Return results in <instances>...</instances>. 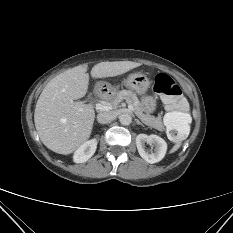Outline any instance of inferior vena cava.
<instances>
[{"instance_id": "obj_1", "label": "inferior vena cava", "mask_w": 233, "mask_h": 233, "mask_svg": "<svg viewBox=\"0 0 233 233\" xmlns=\"http://www.w3.org/2000/svg\"><path fill=\"white\" fill-rule=\"evenodd\" d=\"M116 118V115L114 112H101L97 116V120L100 124H107L113 121Z\"/></svg>"}]
</instances>
